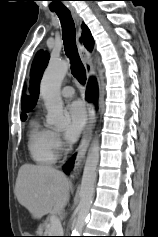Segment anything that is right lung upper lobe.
I'll return each mask as SVG.
<instances>
[{
  "instance_id": "cb5924a9",
  "label": "right lung upper lobe",
  "mask_w": 158,
  "mask_h": 237,
  "mask_svg": "<svg viewBox=\"0 0 158 237\" xmlns=\"http://www.w3.org/2000/svg\"><path fill=\"white\" fill-rule=\"evenodd\" d=\"M82 40L85 47L91 51L93 48V38L90 34V31L86 25H82ZM49 60V54L47 52H39L34 60L32 69H31V85L29 88L30 97H25L22 103V115L26 116V112L31 111L39 96V81L42 77L43 71L46 68Z\"/></svg>"
}]
</instances>
